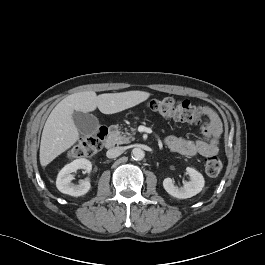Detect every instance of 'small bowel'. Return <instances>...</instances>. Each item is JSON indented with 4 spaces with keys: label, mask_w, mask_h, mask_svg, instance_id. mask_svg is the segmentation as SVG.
<instances>
[{
    "label": "small bowel",
    "mask_w": 265,
    "mask_h": 265,
    "mask_svg": "<svg viewBox=\"0 0 265 265\" xmlns=\"http://www.w3.org/2000/svg\"><path fill=\"white\" fill-rule=\"evenodd\" d=\"M207 123L201 128V136L195 139L169 136L165 140L170 151L184 156L201 155L208 157L218 152V141L222 132V123L217 113L209 106H201Z\"/></svg>",
    "instance_id": "small-bowel-1"
}]
</instances>
